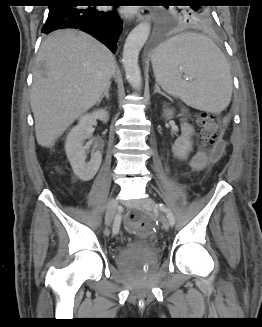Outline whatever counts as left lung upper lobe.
Returning <instances> with one entry per match:
<instances>
[{
  "instance_id": "obj_1",
  "label": "left lung upper lobe",
  "mask_w": 262,
  "mask_h": 327,
  "mask_svg": "<svg viewBox=\"0 0 262 327\" xmlns=\"http://www.w3.org/2000/svg\"><path fill=\"white\" fill-rule=\"evenodd\" d=\"M179 3H187L190 6L180 7L173 10L159 11L160 26L163 29L176 24L207 26L212 22L211 11L208 6H201L204 0H178Z\"/></svg>"
}]
</instances>
